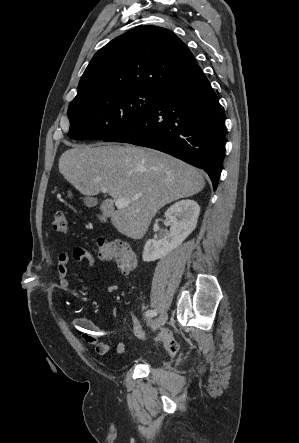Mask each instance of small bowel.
Instances as JSON below:
<instances>
[{
  "label": "small bowel",
  "mask_w": 299,
  "mask_h": 443,
  "mask_svg": "<svg viewBox=\"0 0 299 443\" xmlns=\"http://www.w3.org/2000/svg\"><path fill=\"white\" fill-rule=\"evenodd\" d=\"M72 260L76 262L86 261L87 269L90 271H94L96 268V261L94 257L84 248H75L72 255L67 252H61L58 256L57 272L59 286L63 290H69L72 287V281L68 277V265ZM74 323L77 329L80 331L82 338L94 346L97 354L105 355L111 350H113L116 354H123L125 352V344L122 341H116L112 344L99 341V337L112 334L114 333L113 331H109L85 317L75 318ZM132 323L135 336L138 338H143L145 332L142 328L140 319L137 317H132Z\"/></svg>",
  "instance_id": "small-bowel-1"
}]
</instances>
